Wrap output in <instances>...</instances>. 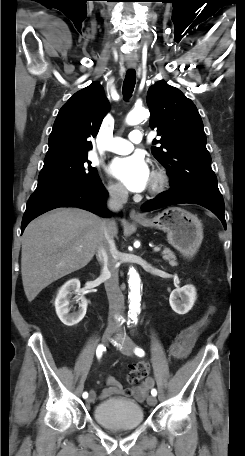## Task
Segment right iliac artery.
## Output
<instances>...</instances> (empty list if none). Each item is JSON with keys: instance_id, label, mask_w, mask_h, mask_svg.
Segmentation results:
<instances>
[{"instance_id": "82829eb1", "label": "right iliac artery", "mask_w": 245, "mask_h": 456, "mask_svg": "<svg viewBox=\"0 0 245 456\" xmlns=\"http://www.w3.org/2000/svg\"><path fill=\"white\" fill-rule=\"evenodd\" d=\"M104 350H105V347H104L103 345H99V346L97 347V350H96V356H97V358H101L102 353H103ZM82 396H83V398L86 399V398L88 397V393H87V392H84Z\"/></svg>"}]
</instances>
